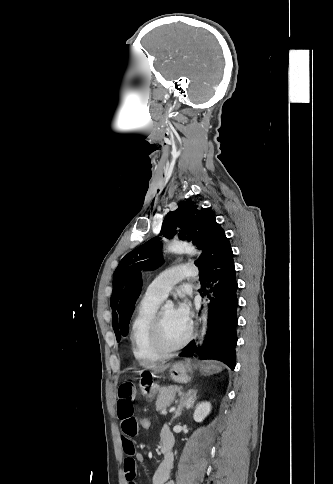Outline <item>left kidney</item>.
Segmentation results:
<instances>
[{
    "label": "left kidney",
    "mask_w": 333,
    "mask_h": 484,
    "mask_svg": "<svg viewBox=\"0 0 333 484\" xmlns=\"http://www.w3.org/2000/svg\"><path fill=\"white\" fill-rule=\"evenodd\" d=\"M211 412V404L202 402L196 406L193 418L196 422H202Z\"/></svg>",
    "instance_id": "left-kidney-1"
}]
</instances>
